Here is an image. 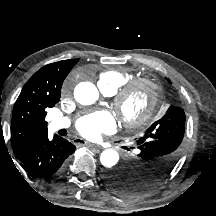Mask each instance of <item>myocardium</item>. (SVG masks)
Wrapping results in <instances>:
<instances>
[{"instance_id":"1","label":"myocardium","mask_w":216,"mask_h":216,"mask_svg":"<svg viewBox=\"0 0 216 216\" xmlns=\"http://www.w3.org/2000/svg\"><path fill=\"white\" fill-rule=\"evenodd\" d=\"M145 88L148 92V99L144 108L136 115L127 114L124 104L127 97L137 89ZM160 86L152 78L140 77L131 79L119 88L113 96V107L120 114L123 122L128 127L144 126L153 116L160 96Z\"/></svg>"}]
</instances>
